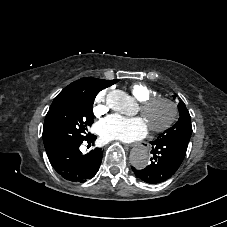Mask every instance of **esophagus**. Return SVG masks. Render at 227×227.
Listing matches in <instances>:
<instances>
[{
  "mask_svg": "<svg viewBox=\"0 0 227 227\" xmlns=\"http://www.w3.org/2000/svg\"><path fill=\"white\" fill-rule=\"evenodd\" d=\"M145 150V151H151L152 150V145L150 143L147 142H142V143H138L135 145V150L136 151H141V150Z\"/></svg>",
  "mask_w": 227,
  "mask_h": 227,
  "instance_id": "obj_1",
  "label": "esophagus"
}]
</instances>
